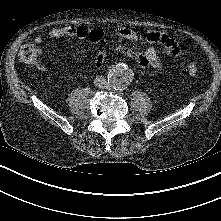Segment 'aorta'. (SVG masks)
<instances>
[{
  "mask_svg": "<svg viewBox=\"0 0 221 221\" xmlns=\"http://www.w3.org/2000/svg\"><path fill=\"white\" fill-rule=\"evenodd\" d=\"M108 82L113 89L123 90L127 88L133 79L131 70L127 65L119 63L108 70Z\"/></svg>",
  "mask_w": 221,
  "mask_h": 221,
  "instance_id": "aorta-1",
  "label": "aorta"
}]
</instances>
